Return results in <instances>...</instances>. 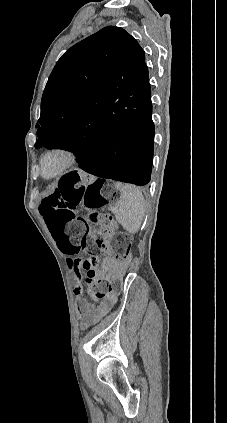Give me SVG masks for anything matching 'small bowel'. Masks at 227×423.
<instances>
[{"instance_id": "1", "label": "small bowel", "mask_w": 227, "mask_h": 423, "mask_svg": "<svg viewBox=\"0 0 227 423\" xmlns=\"http://www.w3.org/2000/svg\"><path fill=\"white\" fill-rule=\"evenodd\" d=\"M104 269L109 274H113L120 269V266L111 258H106L104 261ZM82 291L83 289L81 286L75 288V293L79 296L76 301V310L78 316L81 318V328L86 329L98 323L111 310L115 298H108L107 301L103 302L100 307L96 309L91 303L81 297Z\"/></svg>"}]
</instances>
